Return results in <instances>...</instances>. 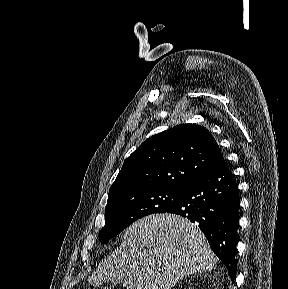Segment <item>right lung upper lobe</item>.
<instances>
[{"mask_svg": "<svg viewBox=\"0 0 288 289\" xmlns=\"http://www.w3.org/2000/svg\"><path fill=\"white\" fill-rule=\"evenodd\" d=\"M223 159L204 127L177 125L144 141L125 161L109 196L149 188H186Z\"/></svg>", "mask_w": 288, "mask_h": 289, "instance_id": "cb5924a9", "label": "right lung upper lobe"}]
</instances>
